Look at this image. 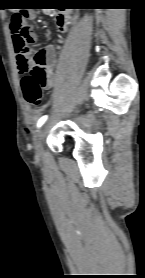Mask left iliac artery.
<instances>
[{
    "label": "left iliac artery",
    "instance_id": "44dca946",
    "mask_svg": "<svg viewBox=\"0 0 145 278\" xmlns=\"http://www.w3.org/2000/svg\"><path fill=\"white\" fill-rule=\"evenodd\" d=\"M47 118H48L47 115L42 116V117L38 120V122H37V127H38V128L41 127V126L45 123V121L47 120Z\"/></svg>",
    "mask_w": 145,
    "mask_h": 278
}]
</instances>
